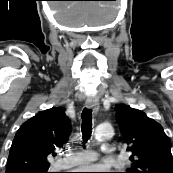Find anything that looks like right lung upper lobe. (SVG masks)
Masks as SVG:
<instances>
[{"label":"right lung upper lobe","mask_w":173,"mask_h":173,"mask_svg":"<svg viewBox=\"0 0 173 173\" xmlns=\"http://www.w3.org/2000/svg\"><path fill=\"white\" fill-rule=\"evenodd\" d=\"M70 133V122L61 107L37 113L17 131L6 173H32L49 168L48 157L63 147Z\"/></svg>","instance_id":"right-lung-upper-lobe-1"}]
</instances>
